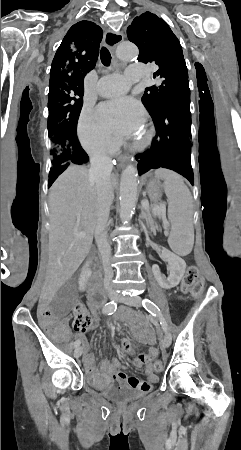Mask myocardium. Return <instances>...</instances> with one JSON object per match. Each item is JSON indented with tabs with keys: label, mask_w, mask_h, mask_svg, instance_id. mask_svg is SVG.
Masks as SVG:
<instances>
[{
	"label": "myocardium",
	"mask_w": 241,
	"mask_h": 450,
	"mask_svg": "<svg viewBox=\"0 0 241 450\" xmlns=\"http://www.w3.org/2000/svg\"><path fill=\"white\" fill-rule=\"evenodd\" d=\"M154 134V131L153 130H146V132H143L142 133V142H144L145 144H142L141 145V148L143 149V152L144 153H147L148 152V149H149V144H146L147 142H150L151 141V138H150V135H153Z\"/></svg>",
	"instance_id": "f54148a6"
}]
</instances>
